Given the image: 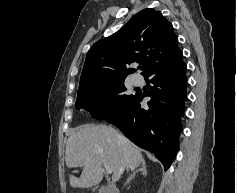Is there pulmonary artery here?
Instances as JSON below:
<instances>
[{
  "mask_svg": "<svg viewBox=\"0 0 237 193\" xmlns=\"http://www.w3.org/2000/svg\"><path fill=\"white\" fill-rule=\"evenodd\" d=\"M142 77L140 75H134L132 77V82L134 85H141L142 84Z\"/></svg>",
  "mask_w": 237,
  "mask_h": 193,
  "instance_id": "e3ab8cb5",
  "label": "pulmonary artery"
}]
</instances>
